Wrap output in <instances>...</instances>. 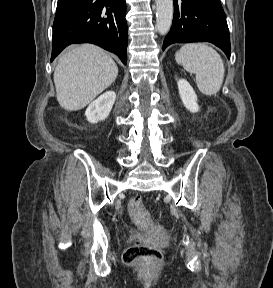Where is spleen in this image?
Wrapping results in <instances>:
<instances>
[{
  "mask_svg": "<svg viewBox=\"0 0 273 288\" xmlns=\"http://www.w3.org/2000/svg\"><path fill=\"white\" fill-rule=\"evenodd\" d=\"M175 59L189 73H195V82L204 95H215L221 88L225 68L221 56L204 43H189L181 47Z\"/></svg>",
  "mask_w": 273,
  "mask_h": 288,
  "instance_id": "1",
  "label": "spleen"
}]
</instances>
